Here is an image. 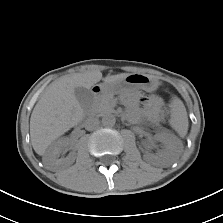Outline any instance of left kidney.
<instances>
[{
  "instance_id": "left-kidney-1",
  "label": "left kidney",
  "mask_w": 223,
  "mask_h": 223,
  "mask_svg": "<svg viewBox=\"0 0 223 223\" xmlns=\"http://www.w3.org/2000/svg\"><path fill=\"white\" fill-rule=\"evenodd\" d=\"M155 139L163 144L158 154L146 152L144 159L152 164L169 166L177 162L182 153V144L169 134H156Z\"/></svg>"
}]
</instances>
